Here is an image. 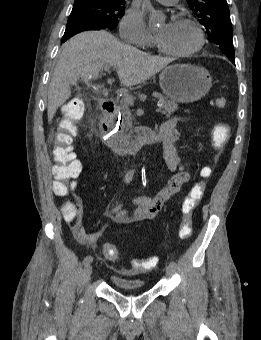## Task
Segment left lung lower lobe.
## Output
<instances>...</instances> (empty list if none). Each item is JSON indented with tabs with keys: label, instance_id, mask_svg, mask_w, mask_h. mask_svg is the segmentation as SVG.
<instances>
[{
	"label": "left lung lower lobe",
	"instance_id": "0a47b994",
	"mask_svg": "<svg viewBox=\"0 0 261 340\" xmlns=\"http://www.w3.org/2000/svg\"><path fill=\"white\" fill-rule=\"evenodd\" d=\"M229 60L235 64V60L233 58H230Z\"/></svg>",
	"mask_w": 261,
	"mask_h": 340
}]
</instances>
